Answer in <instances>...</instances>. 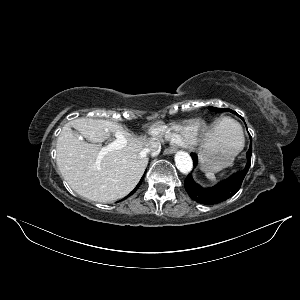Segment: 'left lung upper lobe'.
Segmentation results:
<instances>
[{
	"label": "left lung upper lobe",
	"mask_w": 300,
	"mask_h": 300,
	"mask_svg": "<svg viewBox=\"0 0 300 300\" xmlns=\"http://www.w3.org/2000/svg\"><path fill=\"white\" fill-rule=\"evenodd\" d=\"M211 110L215 111V112H224V111H230L235 113L236 115H238L236 112L230 110V109H223V108H214V107H210ZM239 116V115H238Z\"/></svg>",
	"instance_id": "obj_1"
}]
</instances>
